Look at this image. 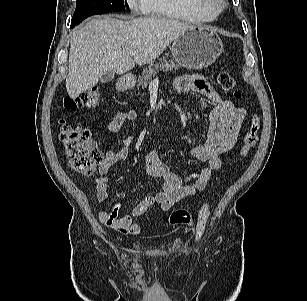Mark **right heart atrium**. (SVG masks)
Wrapping results in <instances>:
<instances>
[{"label":"right heart atrium","mask_w":307,"mask_h":301,"mask_svg":"<svg viewBox=\"0 0 307 301\" xmlns=\"http://www.w3.org/2000/svg\"><path fill=\"white\" fill-rule=\"evenodd\" d=\"M127 3L134 11L146 12L148 8V0H127Z\"/></svg>","instance_id":"1"}]
</instances>
